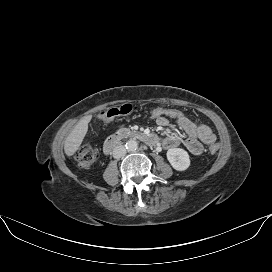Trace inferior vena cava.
Here are the masks:
<instances>
[{"instance_id": "inferior-vena-cava-1", "label": "inferior vena cava", "mask_w": 272, "mask_h": 272, "mask_svg": "<svg viewBox=\"0 0 272 272\" xmlns=\"http://www.w3.org/2000/svg\"><path fill=\"white\" fill-rule=\"evenodd\" d=\"M113 157L116 159H119L121 157H123L126 154V148L123 145H117L114 149H113Z\"/></svg>"}]
</instances>
